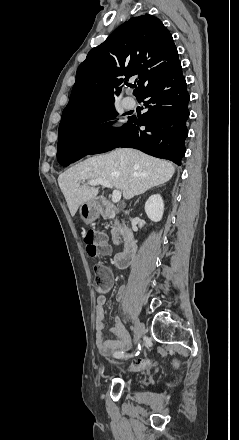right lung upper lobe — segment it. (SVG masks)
<instances>
[{
	"instance_id": "obj_1",
	"label": "right lung upper lobe",
	"mask_w": 239,
	"mask_h": 440,
	"mask_svg": "<svg viewBox=\"0 0 239 440\" xmlns=\"http://www.w3.org/2000/svg\"><path fill=\"white\" fill-rule=\"evenodd\" d=\"M178 62L172 35L158 18L149 14L131 18L91 49L79 65L60 123L107 106L124 84L131 86L126 81L133 76L138 78L134 90L138 97Z\"/></svg>"
}]
</instances>
